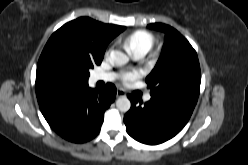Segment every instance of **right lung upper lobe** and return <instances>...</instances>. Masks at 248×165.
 I'll return each instance as SVG.
<instances>
[{
  "label": "right lung upper lobe",
  "mask_w": 248,
  "mask_h": 165,
  "mask_svg": "<svg viewBox=\"0 0 248 165\" xmlns=\"http://www.w3.org/2000/svg\"><path fill=\"white\" fill-rule=\"evenodd\" d=\"M124 26L104 24L88 17H80L59 28L53 35L67 36L86 46L95 58L103 57L108 43ZM88 81L65 79L39 60L36 71V95L39 103L78 93L88 88Z\"/></svg>",
  "instance_id": "obj_1"
}]
</instances>
